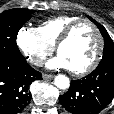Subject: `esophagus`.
<instances>
[{"mask_svg":"<svg viewBox=\"0 0 114 114\" xmlns=\"http://www.w3.org/2000/svg\"><path fill=\"white\" fill-rule=\"evenodd\" d=\"M42 77H43L44 80H50V79L53 78V75H51V74H45V73H44V74L42 75Z\"/></svg>","mask_w":114,"mask_h":114,"instance_id":"1","label":"esophagus"}]
</instances>
